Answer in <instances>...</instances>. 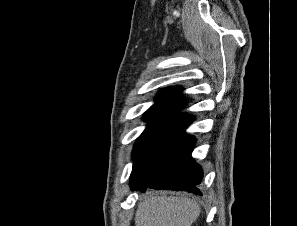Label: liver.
Masks as SVG:
<instances>
[{
	"instance_id": "6515ba94",
	"label": "liver",
	"mask_w": 297,
	"mask_h": 226,
	"mask_svg": "<svg viewBox=\"0 0 297 226\" xmlns=\"http://www.w3.org/2000/svg\"><path fill=\"white\" fill-rule=\"evenodd\" d=\"M200 212L188 197L155 196L138 204L134 221L135 226H191Z\"/></svg>"
}]
</instances>
